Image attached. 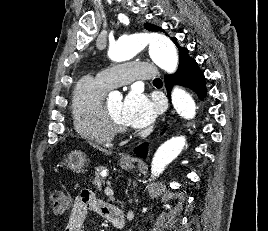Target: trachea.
Here are the masks:
<instances>
[{
  "instance_id": "trachea-1",
  "label": "trachea",
  "mask_w": 268,
  "mask_h": 231,
  "mask_svg": "<svg viewBox=\"0 0 268 231\" xmlns=\"http://www.w3.org/2000/svg\"><path fill=\"white\" fill-rule=\"evenodd\" d=\"M154 82H162L160 78L154 80Z\"/></svg>"
}]
</instances>
